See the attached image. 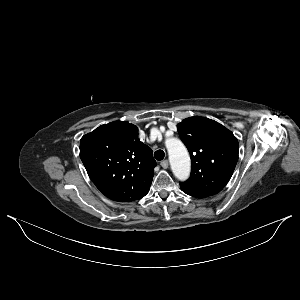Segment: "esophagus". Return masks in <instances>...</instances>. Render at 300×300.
<instances>
[{
	"label": "esophagus",
	"mask_w": 300,
	"mask_h": 300,
	"mask_svg": "<svg viewBox=\"0 0 300 300\" xmlns=\"http://www.w3.org/2000/svg\"><path fill=\"white\" fill-rule=\"evenodd\" d=\"M160 165L164 168V169H167L168 166H169V161L166 159V160H163Z\"/></svg>",
	"instance_id": "34e87169"
}]
</instances>
